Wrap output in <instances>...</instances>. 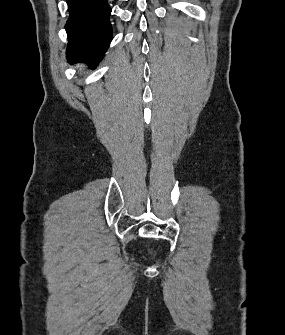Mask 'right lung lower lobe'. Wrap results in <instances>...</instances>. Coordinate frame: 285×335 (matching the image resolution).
Returning <instances> with one entry per match:
<instances>
[{
    "label": "right lung lower lobe",
    "instance_id": "1",
    "mask_svg": "<svg viewBox=\"0 0 285 335\" xmlns=\"http://www.w3.org/2000/svg\"><path fill=\"white\" fill-rule=\"evenodd\" d=\"M67 3L68 59L93 67L102 60L112 39L111 8L107 0H67Z\"/></svg>",
    "mask_w": 285,
    "mask_h": 335
}]
</instances>
